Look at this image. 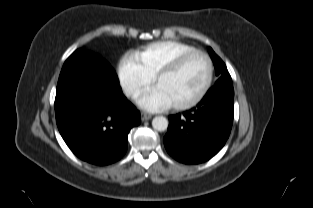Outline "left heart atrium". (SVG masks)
I'll list each match as a JSON object with an SVG mask.
<instances>
[{
    "label": "left heart atrium",
    "instance_id": "obj_1",
    "mask_svg": "<svg viewBox=\"0 0 313 208\" xmlns=\"http://www.w3.org/2000/svg\"><path fill=\"white\" fill-rule=\"evenodd\" d=\"M137 104L148 111H160L169 108L172 103L158 86L144 90L136 97Z\"/></svg>",
    "mask_w": 313,
    "mask_h": 208
}]
</instances>
